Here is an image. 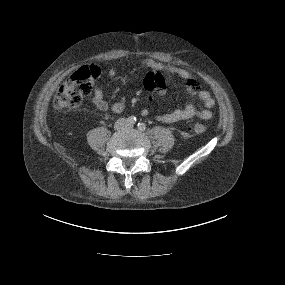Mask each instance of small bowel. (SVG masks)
Here are the masks:
<instances>
[{"instance_id": "c3829d8e", "label": "small bowel", "mask_w": 285, "mask_h": 285, "mask_svg": "<svg viewBox=\"0 0 285 285\" xmlns=\"http://www.w3.org/2000/svg\"><path fill=\"white\" fill-rule=\"evenodd\" d=\"M141 64L149 69V72L144 79V86L148 92L149 98L153 99L156 96H161L165 93V84L162 73L180 77L186 82L187 90L193 96V99L186 102L183 107L158 114L156 116L158 121L163 123H177L191 118L209 120L212 117L210 109L214 107L215 100L210 92L200 89L199 84L189 71L174 65L161 64L152 59H144L141 61ZM108 74L109 76L114 77L116 75V70L111 68ZM196 101L201 102L205 108L197 110L195 107ZM92 102L101 111L120 113L124 109L123 102L109 104L105 100L103 91L97 87L93 89ZM147 113V110L143 111V115H146Z\"/></svg>"}]
</instances>
